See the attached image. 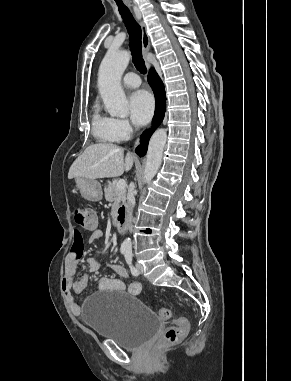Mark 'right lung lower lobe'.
Here are the masks:
<instances>
[{
  "mask_svg": "<svg viewBox=\"0 0 291 381\" xmlns=\"http://www.w3.org/2000/svg\"><path fill=\"white\" fill-rule=\"evenodd\" d=\"M148 82L151 85L155 99H156V108H155V115L153 118V128L150 131H146L141 136V146H139L136 149V153H138L140 156L144 155L147 151L148 147V141L154 132V130L160 125L164 118L165 113V107H166V96L164 91V86L162 81L160 80L159 76L154 70H150V73L148 75Z\"/></svg>",
  "mask_w": 291,
  "mask_h": 381,
  "instance_id": "98d812e1",
  "label": "right lung lower lobe"
}]
</instances>
